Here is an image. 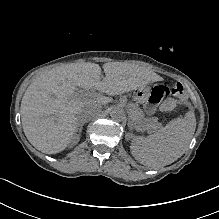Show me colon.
Masks as SVG:
<instances>
[{"mask_svg": "<svg viewBox=\"0 0 219 219\" xmlns=\"http://www.w3.org/2000/svg\"><path fill=\"white\" fill-rule=\"evenodd\" d=\"M171 94L181 101H186L188 97L185 88L180 83H177L172 87ZM175 107L176 102L169 98L162 103L161 110L164 112H170L174 110Z\"/></svg>", "mask_w": 219, "mask_h": 219, "instance_id": "obj_1", "label": "colon"}]
</instances>
